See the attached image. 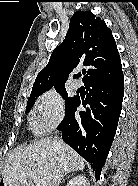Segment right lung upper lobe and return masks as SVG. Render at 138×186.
Masks as SVG:
<instances>
[{
    "instance_id": "obj_1",
    "label": "right lung upper lobe",
    "mask_w": 138,
    "mask_h": 186,
    "mask_svg": "<svg viewBox=\"0 0 138 186\" xmlns=\"http://www.w3.org/2000/svg\"><path fill=\"white\" fill-rule=\"evenodd\" d=\"M78 65L86 67L83 69L85 84L123 75L111 29L90 11L74 13L65 40L55 48L47 66L39 72L31 94L65 86L69 73ZM76 77L78 75H74Z\"/></svg>"
}]
</instances>
